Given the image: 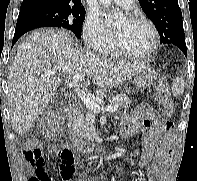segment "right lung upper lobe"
<instances>
[{"instance_id": "1", "label": "right lung upper lobe", "mask_w": 197, "mask_h": 181, "mask_svg": "<svg viewBox=\"0 0 197 181\" xmlns=\"http://www.w3.org/2000/svg\"><path fill=\"white\" fill-rule=\"evenodd\" d=\"M44 4V5H54V6H61V7H74V8H81L82 3L81 0H24L21 4V10L24 11L29 7Z\"/></svg>"}]
</instances>
